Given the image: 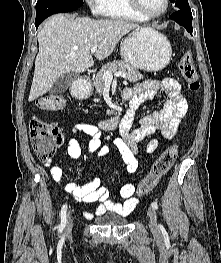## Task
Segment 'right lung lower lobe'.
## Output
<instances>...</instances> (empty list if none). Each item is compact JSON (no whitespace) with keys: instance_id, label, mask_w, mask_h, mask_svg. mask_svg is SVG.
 <instances>
[{"instance_id":"obj_1","label":"right lung lower lobe","mask_w":221,"mask_h":263,"mask_svg":"<svg viewBox=\"0 0 221 263\" xmlns=\"http://www.w3.org/2000/svg\"><path fill=\"white\" fill-rule=\"evenodd\" d=\"M73 10H76V9H73ZM73 10H66V11L54 12V13H51V14H47V15H43V16H40V17H36L35 26H36V28H38L39 24H41L42 21H44L48 16H50V15H52V14H55V13H63V12H70V11H73Z\"/></svg>"}]
</instances>
